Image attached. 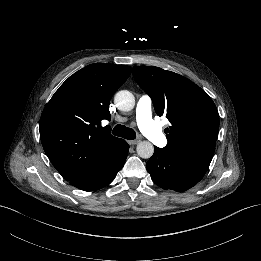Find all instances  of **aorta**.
<instances>
[{"mask_svg":"<svg viewBox=\"0 0 261 261\" xmlns=\"http://www.w3.org/2000/svg\"><path fill=\"white\" fill-rule=\"evenodd\" d=\"M114 103L121 111H130L134 108V95L128 90H121L116 93ZM154 153L153 145L148 141H142L137 145V154L144 159L150 158Z\"/></svg>","mask_w":261,"mask_h":261,"instance_id":"762f6f07","label":"aorta"}]
</instances>
